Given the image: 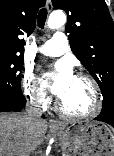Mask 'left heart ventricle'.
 <instances>
[{
    "label": "left heart ventricle",
    "instance_id": "1",
    "mask_svg": "<svg viewBox=\"0 0 114 156\" xmlns=\"http://www.w3.org/2000/svg\"><path fill=\"white\" fill-rule=\"evenodd\" d=\"M60 101L69 113L84 114L94 106V93L88 81L74 77Z\"/></svg>",
    "mask_w": 114,
    "mask_h": 156
}]
</instances>
